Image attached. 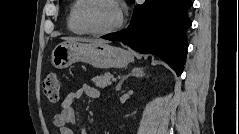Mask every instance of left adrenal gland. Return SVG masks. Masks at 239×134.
<instances>
[{"label": "left adrenal gland", "instance_id": "a2214340", "mask_svg": "<svg viewBox=\"0 0 239 134\" xmlns=\"http://www.w3.org/2000/svg\"><path fill=\"white\" fill-rule=\"evenodd\" d=\"M130 76L143 77V76H145L144 69L143 68H133L128 75L123 76V78L120 80L119 84L116 86L117 91L121 90V86H122L124 80H126Z\"/></svg>", "mask_w": 239, "mask_h": 134}]
</instances>
